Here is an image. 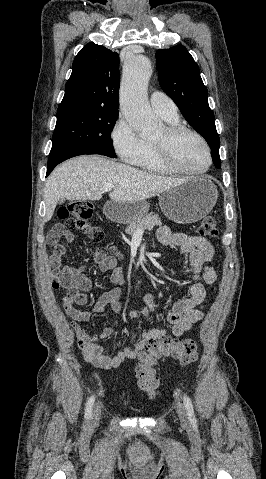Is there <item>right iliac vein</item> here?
I'll return each instance as SVG.
<instances>
[{
    "instance_id": "1",
    "label": "right iliac vein",
    "mask_w": 266,
    "mask_h": 479,
    "mask_svg": "<svg viewBox=\"0 0 266 479\" xmlns=\"http://www.w3.org/2000/svg\"><path fill=\"white\" fill-rule=\"evenodd\" d=\"M100 417H101V406L99 403H96L92 409L91 417L88 424V429L90 431L95 429L98 426Z\"/></svg>"
}]
</instances>
